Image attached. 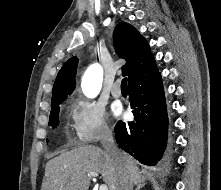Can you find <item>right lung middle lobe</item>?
I'll return each mask as SVG.
<instances>
[{
  "label": "right lung middle lobe",
  "mask_w": 221,
  "mask_h": 190,
  "mask_svg": "<svg viewBox=\"0 0 221 190\" xmlns=\"http://www.w3.org/2000/svg\"><path fill=\"white\" fill-rule=\"evenodd\" d=\"M63 100H58L51 104V113L49 118V125L53 128L57 127L59 124V104L62 103Z\"/></svg>",
  "instance_id": "right-lung-middle-lobe-1"
}]
</instances>
